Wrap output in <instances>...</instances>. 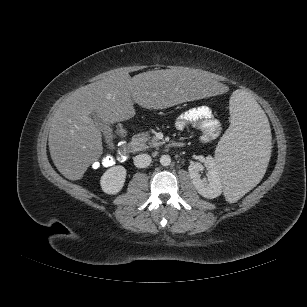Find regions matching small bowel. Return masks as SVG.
Returning <instances> with one entry per match:
<instances>
[{
	"instance_id": "c3829d8e",
	"label": "small bowel",
	"mask_w": 307,
	"mask_h": 307,
	"mask_svg": "<svg viewBox=\"0 0 307 307\" xmlns=\"http://www.w3.org/2000/svg\"><path fill=\"white\" fill-rule=\"evenodd\" d=\"M175 126L179 131L190 126L200 130L201 139L204 142L217 138L222 131L221 123L214 117L208 106H198L184 112L177 118Z\"/></svg>"
}]
</instances>
